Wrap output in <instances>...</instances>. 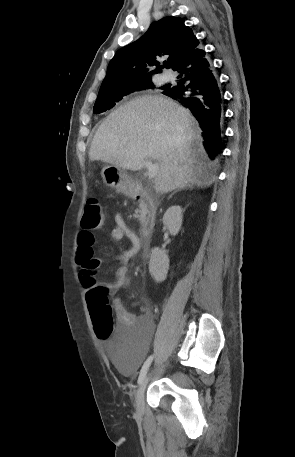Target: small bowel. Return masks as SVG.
<instances>
[{"label":"small bowel","mask_w":295,"mask_h":457,"mask_svg":"<svg viewBox=\"0 0 295 457\" xmlns=\"http://www.w3.org/2000/svg\"><path fill=\"white\" fill-rule=\"evenodd\" d=\"M110 236L115 241L122 244L121 254L117 257V260L120 262V266L116 270L115 280L110 282H97L93 278V283L94 285L103 287L109 292L116 293L120 289L127 288L129 286L131 280L127 264L129 260L143 248L140 237L128 227L120 214L115 215V225L110 229ZM125 240L129 242L128 247L123 245ZM94 243V233L88 229H81L77 238V259L79 257L87 258V260L93 264L94 269L96 270L101 266L103 260L94 257ZM84 287L88 289L90 286L84 284ZM114 307L118 321L116 338H126L128 335L135 332L146 334L152 331L154 327L153 313L150 310L148 304L144 306V312L141 315H137L128 311L124 307L122 301L117 297L114 301Z\"/></svg>","instance_id":"1"}]
</instances>
